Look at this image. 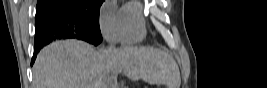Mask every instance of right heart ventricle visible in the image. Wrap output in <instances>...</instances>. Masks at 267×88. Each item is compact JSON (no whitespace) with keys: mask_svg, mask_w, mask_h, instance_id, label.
I'll return each mask as SVG.
<instances>
[{"mask_svg":"<svg viewBox=\"0 0 267 88\" xmlns=\"http://www.w3.org/2000/svg\"><path fill=\"white\" fill-rule=\"evenodd\" d=\"M121 12V41L123 44H134L146 36V24L142 18V6L137 1L126 3Z\"/></svg>","mask_w":267,"mask_h":88,"instance_id":"right-heart-ventricle-1","label":"right heart ventricle"}]
</instances>
